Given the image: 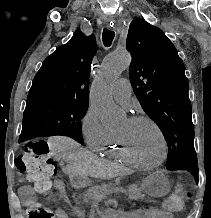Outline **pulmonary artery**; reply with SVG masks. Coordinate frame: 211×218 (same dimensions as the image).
Listing matches in <instances>:
<instances>
[{
	"label": "pulmonary artery",
	"instance_id": "e3ab8cb5",
	"mask_svg": "<svg viewBox=\"0 0 211 218\" xmlns=\"http://www.w3.org/2000/svg\"><path fill=\"white\" fill-rule=\"evenodd\" d=\"M129 85L130 80L126 79H119L113 85L114 98L124 105H127L131 98L132 89L129 87Z\"/></svg>",
	"mask_w": 211,
	"mask_h": 218
}]
</instances>
